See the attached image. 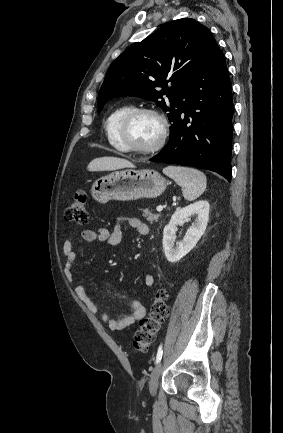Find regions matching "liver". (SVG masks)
<instances>
[{
    "mask_svg": "<svg viewBox=\"0 0 283 433\" xmlns=\"http://www.w3.org/2000/svg\"><path fill=\"white\" fill-rule=\"evenodd\" d=\"M87 168L88 170H117V168H135V164L126 158L100 156V158H93Z\"/></svg>",
    "mask_w": 283,
    "mask_h": 433,
    "instance_id": "1",
    "label": "liver"
}]
</instances>
